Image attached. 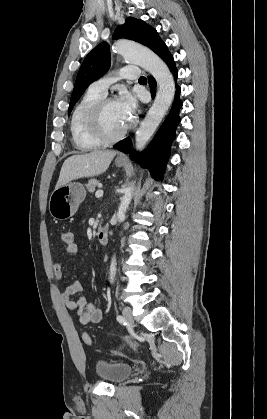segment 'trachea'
Segmentation results:
<instances>
[{"instance_id":"3493384b","label":"trachea","mask_w":267,"mask_h":419,"mask_svg":"<svg viewBox=\"0 0 267 419\" xmlns=\"http://www.w3.org/2000/svg\"><path fill=\"white\" fill-rule=\"evenodd\" d=\"M146 80V78L144 77V76H141L140 78H139V81H145Z\"/></svg>"}]
</instances>
